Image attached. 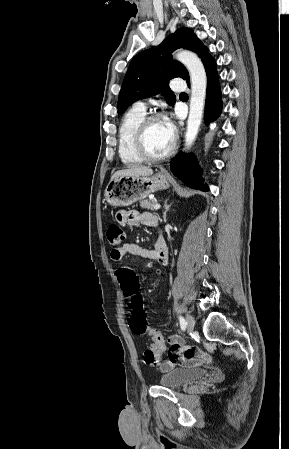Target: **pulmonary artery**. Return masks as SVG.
<instances>
[{
	"label": "pulmonary artery",
	"instance_id": "obj_1",
	"mask_svg": "<svg viewBox=\"0 0 289 449\" xmlns=\"http://www.w3.org/2000/svg\"><path fill=\"white\" fill-rule=\"evenodd\" d=\"M170 86L174 90H180V89L184 88V83L181 79L175 78L171 81ZM135 106L142 110H146V105L143 101L136 102Z\"/></svg>",
	"mask_w": 289,
	"mask_h": 449
}]
</instances>
